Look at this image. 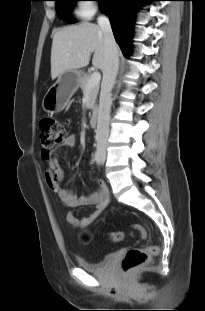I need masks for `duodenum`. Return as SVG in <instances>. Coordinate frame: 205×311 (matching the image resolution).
<instances>
[{"mask_svg":"<svg viewBox=\"0 0 205 311\" xmlns=\"http://www.w3.org/2000/svg\"><path fill=\"white\" fill-rule=\"evenodd\" d=\"M89 122L92 126L97 125L98 122V109L95 107L91 110L89 115Z\"/></svg>","mask_w":205,"mask_h":311,"instance_id":"1","label":"duodenum"}]
</instances>
